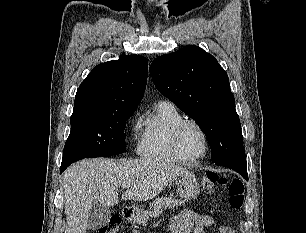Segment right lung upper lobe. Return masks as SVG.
<instances>
[{
	"instance_id": "right-lung-upper-lobe-1",
	"label": "right lung upper lobe",
	"mask_w": 306,
	"mask_h": 233,
	"mask_svg": "<svg viewBox=\"0 0 306 233\" xmlns=\"http://www.w3.org/2000/svg\"><path fill=\"white\" fill-rule=\"evenodd\" d=\"M147 74V59L137 55L97 65L79 86L74 106L137 109Z\"/></svg>"
}]
</instances>
